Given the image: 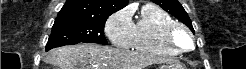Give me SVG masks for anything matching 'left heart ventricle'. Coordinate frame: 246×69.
I'll return each instance as SVG.
<instances>
[{
    "mask_svg": "<svg viewBox=\"0 0 246 69\" xmlns=\"http://www.w3.org/2000/svg\"><path fill=\"white\" fill-rule=\"evenodd\" d=\"M175 39L182 46H186L188 44V40H189L188 36L182 31H177L175 33Z\"/></svg>",
    "mask_w": 246,
    "mask_h": 69,
    "instance_id": "b2bd125f",
    "label": "left heart ventricle"
}]
</instances>
